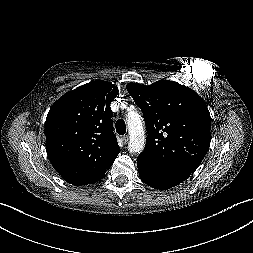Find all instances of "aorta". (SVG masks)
<instances>
[{
    "label": "aorta",
    "mask_w": 253,
    "mask_h": 253,
    "mask_svg": "<svg viewBox=\"0 0 253 253\" xmlns=\"http://www.w3.org/2000/svg\"><path fill=\"white\" fill-rule=\"evenodd\" d=\"M130 140L128 150L130 153H140L145 146V133L140 115L137 112H131L127 119Z\"/></svg>",
    "instance_id": "aorta-1"
}]
</instances>
